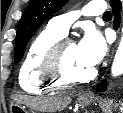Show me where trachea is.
I'll return each mask as SVG.
<instances>
[{
	"label": "trachea",
	"mask_w": 123,
	"mask_h": 113,
	"mask_svg": "<svg viewBox=\"0 0 123 113\" xmlns=\"http://www.w3.org/2000/svg\"><path fill=\"white\" fill-rule=\"evenodd\" d=\"M110 17H112L110 11H106V12L103 14V18H110Z\"/></svg>",
	"instance_id": "1"
}]
</instances>
